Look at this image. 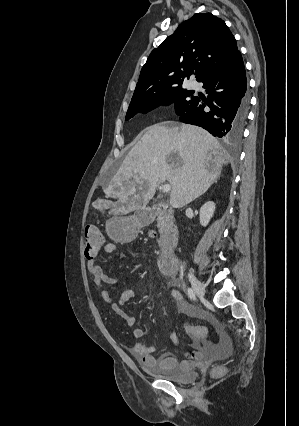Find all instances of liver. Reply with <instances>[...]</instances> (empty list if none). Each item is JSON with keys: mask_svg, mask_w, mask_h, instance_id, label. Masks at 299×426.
Wrapping results in <instances>:
<instances>
[{"mask_svg": "<svg viewBox=\"0 0 299 426\" xmlns=\"http://www.w3.org/2000/svg\"><path fill=\"white\" fill-rule=\"evenodd\" d=\"M216 138L192 125L155 124L146 129L104 187L117 202L98 201L114 215L146 206L159 184L171 186L170 204L182 208L204 194L228 162Z\"/></svg>", "mask_w": 299, "mask_h": 426, "instance_id": "1", "label": "liver"}]
</instances>
